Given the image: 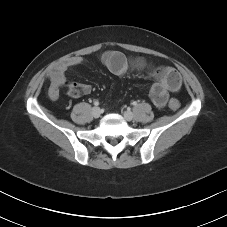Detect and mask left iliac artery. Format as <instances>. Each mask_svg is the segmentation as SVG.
<instances>
[{
    "label": "left iliac artery",
    "instance_id": "left-iliac-artery-1",
    "mask_svg": "<svg viewBox=\"0 0 227 227\" xmlns=\"http://www.w3.org/2000/svg\"><path fill=\"white\" fill-rule=\"evenodd\" d=\"M132 105H134V106L137 105V102L136 101H133L132 102Z\"/></svg>",
    "mask_w": 227,
    "mask_h": 227
}]
</instances>
